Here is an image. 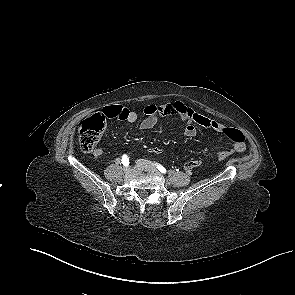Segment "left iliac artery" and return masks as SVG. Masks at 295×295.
I'll return each instance as SVG.
<instances>
[{
	"label": "left iliac artery",
	"instance_id": "1",
	"mask_svg": "<svg viewBox=\"0 0 295 295\" xmlns=\"http://www.w3.org/2000/svg\"><path fill=\"white\" fill-rule=\"evenodd\" d=\"M157 166V169L162 172V173H166V169L165 167H163L161 164L156 163L155 164Z\"/></svg>",
	"mask_w": 295,
	"mask_h": 295
}]
</instances>
